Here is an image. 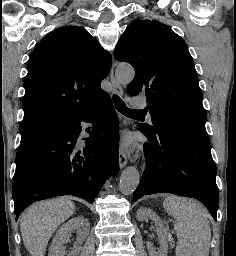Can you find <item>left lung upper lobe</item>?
<instances>
[{"label":"left lung upper lobe","mask_w":236,"mask_h":256,"mask_svg":"<svg viewBox=\"0 0 236 256\" xmlns=\"http://www.w3.org/2000/svg\"><path fill=\"white\" fill-rule=\"evenodd\" d=\"M115 58L135 69L128 94H146L152 125L139 126L154 133L156 123L165 120L207 135V114L194 62L184 40L167 25L134 20L121 35Z\"/></svg>","instance_id":"left-lung-upper-lobe-1"}]
</instances>
